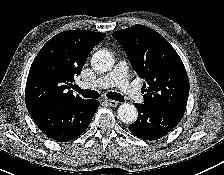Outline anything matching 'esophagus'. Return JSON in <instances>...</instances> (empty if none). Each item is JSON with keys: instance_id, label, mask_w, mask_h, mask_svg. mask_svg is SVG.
<instances>
[{"instance_id": "esophagus-1", "label": "esophagus", "mask_w": 224, "mask_h": 175, "mask_svg": "<svg viewBox=\"0 0 224 175\" xmlns=\"http://www.w3.org/2000/svg\"><path fill=\"white\" fill-rule=\"evenodd\" d=\"M105 102L111 107H116L119 104L118 101L111 100V99H105Z\"/></svg>"}]
</instances>
